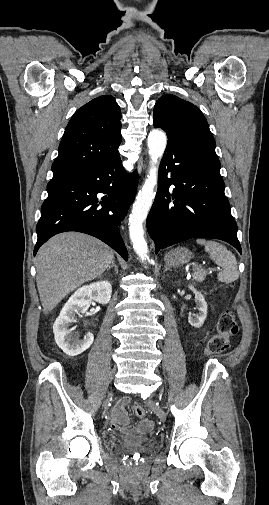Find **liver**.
Segmentation results:
<instances>
[{
    "label": "liver",
    "instance_id": "liver-1",
    "mask_svg": "<svg viewBox=\"0 0 269 505\" xmlns=\"http://www.w3.org/2000/svg\"><path fill=\"white\" fill-rule=\"evenodd\" d=\"M113 259L114 251L89 235L66 232L52 237L36 255V283L44 314L71 291L99 277Z\"/></svg>",
    "mask_w": 269,
    "mask_h": 505
}]
</instances>
